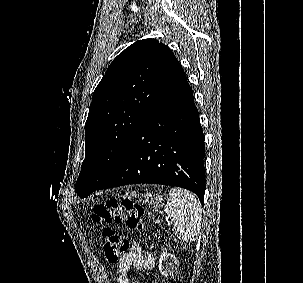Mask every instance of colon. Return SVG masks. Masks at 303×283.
<instances>
[{
	"label": "colon",
	"instance_id": "colon-1",
	"mask_svg": "<svg viewBox=\"0 0 303 283\" xmlns=\"http://www.w3.org/2000/svg\"><path fill=\"white\" fill-rule=\"evenodd\" d=\"M91 219L100 228V241L108 263H117L128 245L114 226L124 224L130 230H141L144 226L142 206L129 199L108 200L95 205ZM133 283L140 282L135 280Z\"/></svg>",
	"mask_w": 303,
	"mask_h": 283
}]
</instances>
